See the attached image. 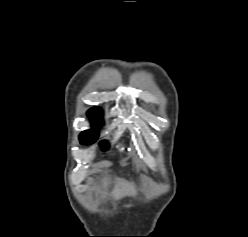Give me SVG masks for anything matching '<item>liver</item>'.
<instances>
[{"mask_svg":"<svg viewBox=\"0 0 248 237\" xmlns=\"http://www.w3.org/2000/svg\"><path fill=\"white\" fill-rule=\"evenodd\" d=\"M108 179L104 178L103 185L107 184ZM114 186V196L116 199H121L125 196H134L137 193L135 185L124 179L116 178Z\"/></svg>","mask_w":248,"mask_h":237,"instance_id":"1","label":"liver"}]
</instances>
